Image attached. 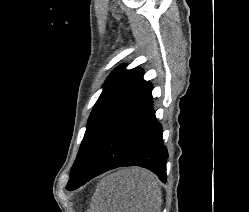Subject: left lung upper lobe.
<instances>
[{"label": "left lung upper lobe", "instance_id": "obj_1", "mask_svg": "<svg viewBox=\"0 0 249 212\" xmlns=\"http://www.w3.org/2000/svg\"><path fill=\"white\" fill-rule=\"evenodd\" d=\"M124 68L125 65L117 67L103 85V91L88 119L69 182L80 176L110 128L151 84L143 79L141 68Z\"/></svg>", "mask_w": 249, "mask_h": 212}]
</instances>
